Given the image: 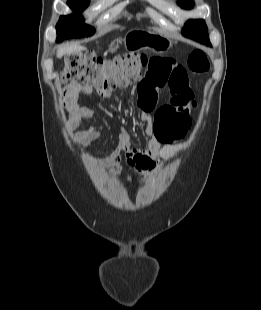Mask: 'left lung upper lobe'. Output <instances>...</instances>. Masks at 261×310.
I'll return each mask as SVG.
<instances>
[{
  "label": "left lung upper lobe",
  "mask_w": 261,
  "mask_h": 310,
  "mask_svg": "<svg viewBox=\"0 0 261 310\" xmlns=\"http://www.w3.org/2000/svg\"><path fill=\"white\" fill-rule=\"evenodd\" d=\"M178 5L183 8H192L194 3L191 0H178ZM207 31V26L203 20H189L185 23V27L182 34L188 38H192L195 35L205 33Z\"/></svg>",
  "instance_id": "left-lung-upper-lobe-1"
}]
</instances>
